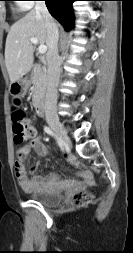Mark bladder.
Segmentation results:
<instances>
[{"label":"bladder","instance_id":"31cf9c89","mask_svg":"<svg viewBox=\"0 0 133 253\" xmlns=\"http://www.w3.org/2000/svg\"><path fill=\"white\" fill-rule=\"evenodd\" d=\"M30 198L45 207H55L63 201V196L60 193L45 189L32 192Z\"/></svg>","mask_w":133,"mask_h":253}]
</instances>
